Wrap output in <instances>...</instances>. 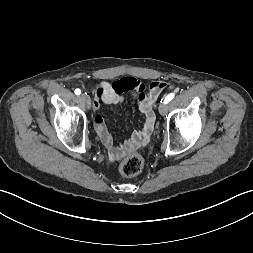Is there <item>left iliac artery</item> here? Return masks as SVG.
Returning <instances> with one entry per match:
<instances>
[{"label": "left iliac artery", "mask_w": 253, "mask_h": 253, "mask_svg": "<svg viewBox=\"0 0 253 253\" xmlns=\"http://www.w3.org/2000/svg\"><path fill=\"white\" fill-rule=\"evenodd\" d=\"M174 98V93H170L166 96V98L164 99V103L167 104L168 102H170L172 99Z\"/></svg>", "instance_id": "44dca946"}]
</instances>
